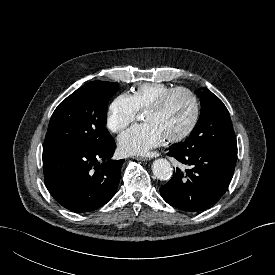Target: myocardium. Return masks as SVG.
Wrapping results in <instances>:
<instances>
[{
	"instance_id": "1",
	"label": "myocardium",
	"mask_w": 275,
	"mask_h": 275,
	"mask_svg": "<svg viewBox=\"0 0 275 275\" xmlns=\"http://www.w3.org/2000/svg\"><path fill=\"white\" fill-rule=\"evenodd\" d=\"M178 92L186 93L190 97V99L192 101V105H193V113H192V117H191V120H190L188 126L182 132L165 137V139L169 142L182 141V140L186 139L187 137H189L195 130V128L198 124V121H199V116H200V104H199L197 95L194 93V91H192L191 89H189L187 87H182V86L174 87V88H171L168 91H166L164 94H162L146 110V111L161 110L166 105V103L171 98V96H173L174 94H176Z\"/></svg>"
}]
</instances>
